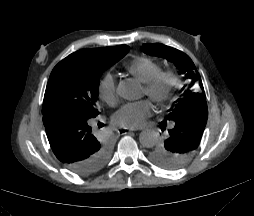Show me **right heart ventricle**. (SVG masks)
<instances>
[{
	"label": "right heart ventricle",
	"mask_w": 254,
	"mask_h": 216,
	"mask_svg": "<svg viewBox=\"0 0 254 216\" xmlns=\"http://www.w3.org/2000/svg\"><path fill=\"white\" fill-rule=\"evenodd\" d=\"M159 69V66L148 59L140 60L130 67L131 73L138 75L140 77H144L146 74L156 73Z\"/></svg>",
	"instance_id": "e07e8e85"
}]
</instances>
